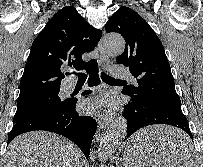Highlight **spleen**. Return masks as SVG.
<instances>
[{
  "label": "spleen",
  "instance_id": "1",
  "mask_svg": "<svg viewBox=\"0 0 203 167\" xmlns=\"http://www.w3.org/2000/svg\"><path fill=\"white\" fill-rule=\"evenodd\" d=\"M154 148L158 149V146L145 149L139 143L133 146L128 160L129 167H147L148 165L151 167H198V162L191 150H185L176 160H163L159 149L157 155L150 152Z\"/></svg>",
  "mask_w": 203,
  "mask_h": 167
}]
</instances>
